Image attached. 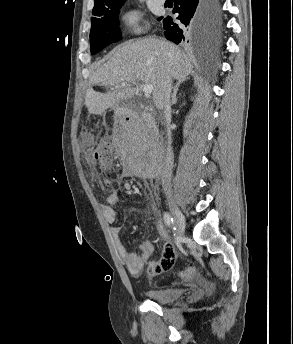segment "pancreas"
Returning a JSON list of instances; mask_svg holds the SVG:
<instances>
[{"instance_id":"obj_1","label":"pancreas","mask_w":293,"mask_h":344,"mask_svg":"<svg viewBox=\"0 0 293 344\" xmlns=\"http://www.w3.org/2000/svg\"><path fill=\"white\" fill-rule=\"evenodd\" d=\"M143 134L144 133L142 129L138 128V129L132 130L131 136L135 139H140L142 138Z\"/></svg>"}]
</instances>
